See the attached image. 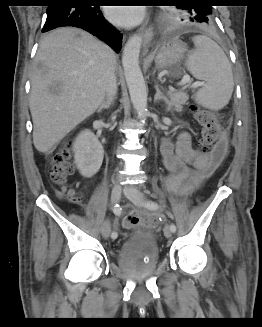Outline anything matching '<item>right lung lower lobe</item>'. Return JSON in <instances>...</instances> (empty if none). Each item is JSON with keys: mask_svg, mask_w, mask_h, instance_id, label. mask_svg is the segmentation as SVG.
<instances>
[{"mask_svg": "<svg viewBox=\"0 0 262 327\" xmlns=\"http://www.w3.org/2000/svg\"><path fill=\"white\" fill-rule=\"evenodd\" d=\"M65 26L88 31L117 53L121 49L122 35L107 23L99 6L83 5L79 0H53V5L47 8L42 32Z\"/></svg>", "mask_w": 262, "mask_h": 327, "instance_id": "right-lung-lower-lobe-1", "label": "right lung lower lobe"}]
</instances>
